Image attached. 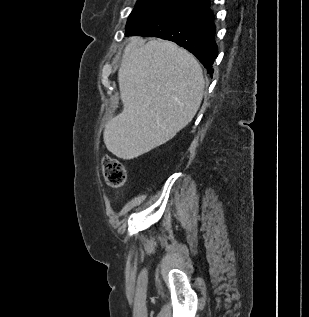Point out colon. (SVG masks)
<instances>
[{
  "instance_id": "colon-1",
  "label": "colon",
  "mask_w": 309,
  "mask_h": 317,
  "mask_svg": "<svg viewBox=\"0 0 309 317\" xmlns=\"http://www.w3.org/2000/svg\"><path fill=\"white\" fill-rule=\"evenodd\" d=\"M102 169L105 181L109 186L118 188L125 183L126 172L118 160L108 157L104 158Z\"/></svg>"
}]
</instances>
